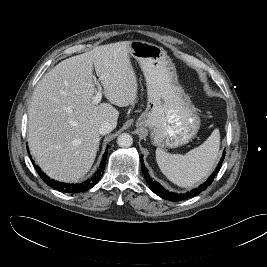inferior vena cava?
I'll return each mask as SVG.
<instances>
[{
	"label": "inferior vena cava",
	"mask_w": 267,
	"mask_h": 267,
	"mask_svg": "<svg viewBox=\"0 0 267 267\" xmlns=\"http://www.w3.org/2000/svg\"><path fill=\"white\" fill-rule=\"evenodd\" d=\"M114 129V126L109 122H103L99 127V133L101 135L109 134Z\"/></svg>",
	"instance_id": "inferior-vena-cava-1"
}]
</instances>
